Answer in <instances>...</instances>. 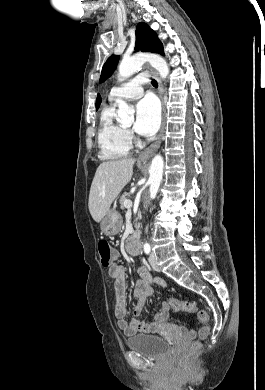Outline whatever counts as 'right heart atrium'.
Masks as SVG:
<instances>
[{"mask_svg":"<svg viewBox=\"0 0 265 390\" xmlns=\"http://www.w3.org/2000/svg\"><path fill=\"white\" fill-rule=\"evenodd\" d=\"M128 135H129L130 138L132 137V134L130 132H128Z\"/></svg>","mask_w":265,"mask_h":390,"instance_id":"d8ad5b80","label":"right heart atrium"}]
</instances>
